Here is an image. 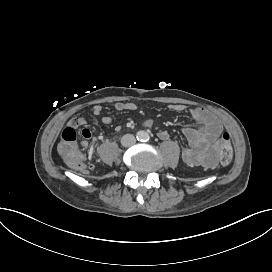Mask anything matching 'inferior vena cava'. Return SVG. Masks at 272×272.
<instances>
[{
    "mask_svg": "<svg viewBox=\"0 0 272 272\" xmlns=\"http://www.w3.org/2000/svg\"><path fill=\"white\" fill-rule=\"evenodd\" d=\"M136 143V139L132 134H126L121 139V144L124 147H131Z\"/></svg>",
    "mask_w": 272,
    "mask_h": 272,
    "instance_id": "inferior-vena-cava-1",
    "label": "inferior vena cava"
}]
</instances>
